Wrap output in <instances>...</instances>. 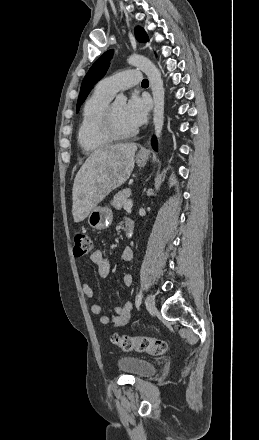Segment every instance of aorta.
Instances as JSON below:
<instances>
[{"label": "aorta", "instance_id": "1", "mask_svg": "<svg viewBox=\"0 0 259 440\" xmlns=\"http://www.w3.org/2000/svg\"><path fill=\"white\" fill-rule=\"evenodd\" d=\"M127 62L143 71L148 77L154 102V129L155 134L159 139L164 124V87L161 74L157 67L148 58L141 55H131L127 59ZM126 101L127 98L123 94L116 96V102L126 103Z\"/></svg>", "mask_w": 259, "mask_h": 440}]
</instances>
